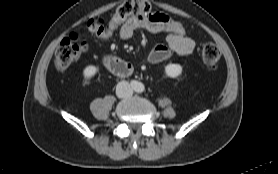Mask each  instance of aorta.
I'll list each match as a JSON object with an SVG mask.
<instances>
[{
	"instance_id": "762f6f07",
	"label": "aorta",
	"mask_w": 278,
	"mask_h": 174,
	"mask_svg": "<svg viewBox=\"0 0 278 174\" xmlns=\"http://www.w3.org/2000/svg\"><path fill=\"white\" fill-rule=\"evenodd\" d=\"M134 90L136 92H143L144 91V84L141 83V82H136L135 85H134Z\"/></svg>"
}]
</instances>
